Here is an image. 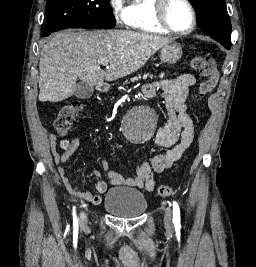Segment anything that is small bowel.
<instances>
[{"instance_id":"small-bowel-1","label":"small bowel","mask_w":256,"mask_h":267,"mask_svg":"<svg viewBox=\"0 0 256 267\" xmlns=\"http://www.w3.org/2000/svg\"><path fill=\"white\" fill-rule=\"evenodd\" d=\"M196 83V78L192 74H182L173 79H163L154 84L147 85L142 92L145 96L159 98L166 107L168 120L161 126L155 136V145L162 148V151L154 153L150 162H142L136 169L135 176L125 178L116 171L108 169L106 161L101 162L102 169L107 173L108 182L97 179L95 182V192L83 191L79 186L70 182L66 175V170L62 166L66 163L79 147L78 138L72 139L63 153L56 149L57 137L51 135L53 159L57 167V175L66 190L87 202L97 205L102 201L108 186H130L135 188H145L153 190L155 185V173H161L170 168L183 155L190 146L194 138V127L192 120L185 111V102L189 89ZM180 141L177 143L178 139Z\"/></svg>"}]
</instances>
